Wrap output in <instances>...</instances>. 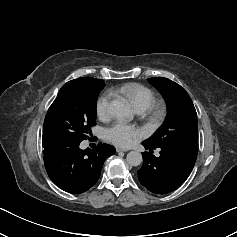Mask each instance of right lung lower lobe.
<instances>
[{
  "label": "right lung lower lobe",
  "mask_w": 237,
  "mask_h": 237,
  "mask_svg": "<svg viewBox=\"0 0 237 237\" xmlns=\"http://www.w3.org/2000/svg\"><path fill=\"white\" fill-rule=\"evenodd\" d=\"M81 141L64 136L43 134L44 163L50 179L68 193L87 191L98 180L107 157L115 148L99 143L94 149L82 150Z\"/></svg>",
  "instance_id": "right-lung-lower-lobe-1"
}]
</instances>
